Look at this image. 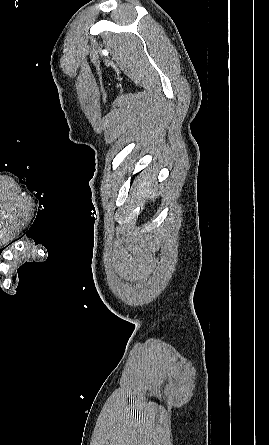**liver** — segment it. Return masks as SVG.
Segmentation results:
<instances>
[{
    "mask_svg": "<svg viewBox=\"0 0 269 445\" xmlns=\"http://www.w3.org/2000/svg\"><path fill=\"white\" fill-rule=\"evenodd\" d=\"M154 182L155 178L150 179L147 176H143L142 180L139 183V187L141 188L140 197L142 196V198L151 199L153 201L155 200V198L157 197V193L155 192V188L153 189ZM137 195H139L138 192Z\"/></svg>",
    "mask_w": 269,
    "mask_h": 445,
    "instance_id": "liver-1",
    "label": "liver"
}]
</instances>
